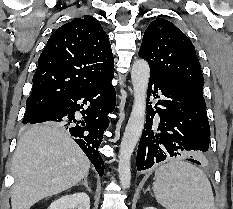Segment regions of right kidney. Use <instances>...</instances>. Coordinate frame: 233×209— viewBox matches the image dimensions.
I'll list each match as a JSON object with an SVG mask.
<instances>
[{"mask_svg":"<svg viewBox=\"0 0 233 209\" xmlns=\"http://www.w3.org/2000/svg\"><path fill=\"white\" fill-rule=\"evenodd\" d=\"M48 209H90V198L83 192L66 195L54 201Z\"/></svg>","mask_w":233,"mask_h":209,"instance_id":"right-kidney-1","label":"right kidney"}]
</instances>
